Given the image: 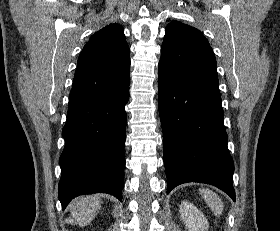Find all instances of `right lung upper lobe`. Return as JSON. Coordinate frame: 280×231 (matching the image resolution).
<instances>
[{
    "label": "right lung upper lobe",
    "mask_w": 280,
    "mask_h": 231,
    "mask_svg": "<svg viewBox=\"0 0 280 231\" xmlns=\"http://www.w3.org/2000/svg\"><path fill=\"white\" fill-rule=\"evenodd\" d=\"M130 56L123 28L110 24L96 32L78 58L68 106L119 92L130 83Z\"/></svg>",
    "instance_id": "cb5924a9"
}]
</instances>
